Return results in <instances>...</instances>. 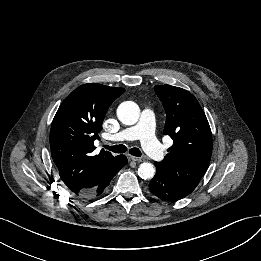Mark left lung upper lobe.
Instances as JSON below:
<instances>
[{
    "label": "left lung upper lobe",
    "mask_w": 261,
    "mask_h": 261,
    "mask_svg": "<svg viewBox=\"0 0 261 261\" xmlns=\"http://www.w3.org/2000/svg\"><path fill=\"white\" fill-rule=\"evenodd\" d=\"M154 89L167 115L164 134L174 142L163 161L154 164L178 188L190 194L211 159L212 134L208 120L190 92L170 85H157Z\"/></svg>",
    "instance_id": "1"
}]
</instances>
